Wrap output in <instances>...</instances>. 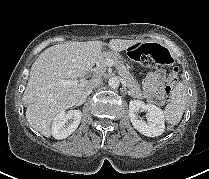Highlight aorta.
Returning <instances> with one entry per match:
<instances>
[{
  "label": "aorta",
  "mask_w": 209,
  "mask_h": 179,
  "mask_svg": "<svg viewBox=\"0 0 209 179\" xmlns=\"http://www.w3.org/2000/svg\"><path fill=\"white\" fill-rule=\"evenodd\" d=\"M108 84H109V87H110V88L115 89V88H118V87H119L120 80H119L118 77L113 76V77H111V78L109 79Z\"/></svg>",
  "instance_id": "1"
}]
</instances>
